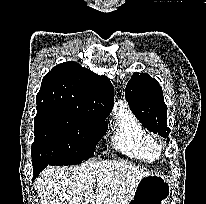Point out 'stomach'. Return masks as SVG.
<instances>
[{"mask_svg": "<svg viewBox=\"0 0 206 204\" xmlns=\"http://www.w3.org/2000/svg\"><path fill=\"white\" fill-rule=\"evenodd\" d=\"M170 193L165 177L149 174L140 179L128 204H168Z\"/></svg>", "mask_w": 206, "mask_h": 204, "instance_id": "stomach-1", "label": "stomach"}]
</instances>
